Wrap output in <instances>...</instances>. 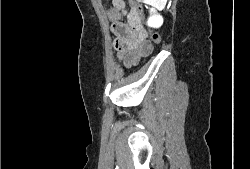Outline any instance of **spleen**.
Returning a JSON list of instances; mask_svg holds the SVG:
<instances>
[{
  "label": "spleen",
  "instance_id": "1",
  "mask_svg": "<svg viewBox=\"0 0 250 169\" xmlns=\"http://www.w3.org/2000/svg\"><path fill=\"white\" fill-rule=\"evenodd\" d=\"M166 0H163V4H165Z\"/></svg>",
  "mask_w": 250,
  "mask_h": 169
}]
</instances>
